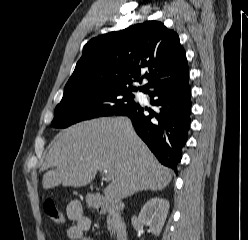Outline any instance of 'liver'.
I'll list each match as a JSON object with an SVG mask.
<instances>
[{"instance_id": "6515ba94", "label": "liver", "mask_w": 248, "mask_h": 240, "mask_svg": "<svg viewBox=\"0 0 248 240\" xmlns=\"http://www.w3.org/2000/svg\"><path fill=\"white\" fill-rule=\"evenodd\" d=\"M45 190L58 185L89 184L98 170H108L105 199L118 202L142 190H162L172 180L135 133L126 117H104L77 123L59 132L46 156Z\"/></svg>"}]
</instances>
